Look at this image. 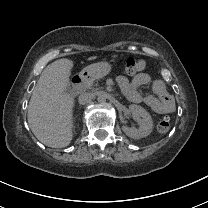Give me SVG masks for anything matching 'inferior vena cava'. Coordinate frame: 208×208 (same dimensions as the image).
I'll use <instances>...</instances> for the list:
<instances>
[{
	"mask_svg": "<svg viewBox=\"0 0 208 208\" xmlns=\"http://www.w3.org/2000/svg\"><path fill=\"white\" fill-rule=\"evenodd\" d=\"M92 99H93V94L89 92H85L79 96L78 100L80 104L85 105L90 103Z\"/></svg>",
	"mask_w": 208,
	"mask_h": 208,
	"instance_id": "obj_1",
	"label": "inferior vena cava"
}]
</instances>
